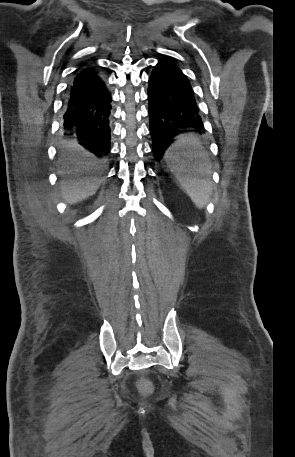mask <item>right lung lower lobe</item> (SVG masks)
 <instances>
[{
  "label": "right lung lower lobe",
  "instance_id": "obj_1",
  "mask_svg": "<svg viewBox=\"0 0 295 457\" xmlns=\"http://www.w3.org/2000/svg\"><path fill=\"white\" fill-rule=\"evenodd\" d=\"M111 95L92 63L79 68L67 89L64 126H75L81 144L101 157L110 151Z\"/></svg>",
  "mask_w": 295,
  "mask_h": 457
}]
</instances>
